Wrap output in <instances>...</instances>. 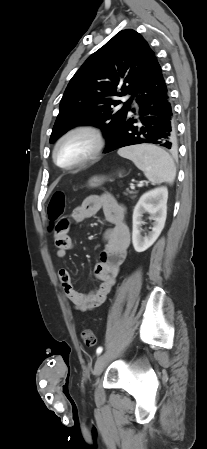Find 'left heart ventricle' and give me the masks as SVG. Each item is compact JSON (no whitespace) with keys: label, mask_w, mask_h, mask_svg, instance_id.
Wrapping results in <instances>:
<instances>
[{"label":"left heart ventricle","mask_w":207,"mask_h":449,"mask_svg":"<svg viewBox=\"0 0 207 449\" xmlns=\"http://www.w3.org/2000/svg\"><path fill=\"white\" fill-rule=\"evenodd\" d=\"M92 148V141L86 135H75L64 141L58 151L57 160L61 165H68L87 155Z\"/></svg>","instance_id":"1"}]
</instances>
